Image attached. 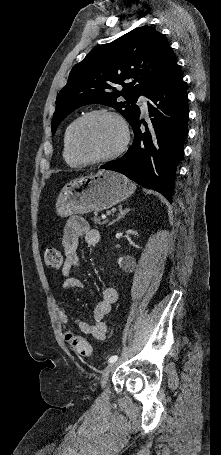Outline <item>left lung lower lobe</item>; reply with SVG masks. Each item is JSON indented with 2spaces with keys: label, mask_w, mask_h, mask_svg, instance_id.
<instances>
[{
  "label": "left lung lower lobe",
  "mask_w": 221,
  "mask_h": 455,
  "mask_svg": "<svg viewBox=\"0 0 221 455\" xmlns=\"http://www.w3.org/2000/svg\"><path fill=\"white\" fill-rule=\"evenodd\" d=\"M152 129L140 114L132 123L134 141L121 158L100 168L124 174L145 188L163 194L170 202L176 170L188 134V99L177 62L146 95ZM144 124L145 131L140 125Z\"/></svg>",
  "instance_id": "0a47b994"
}]
</instances>
